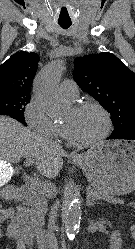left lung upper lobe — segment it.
Listing matches in <instances>:
<instances>
[{"label": "left lung upper lobe", "mask_w": 135, "mask_h": 249, "mask_svg": "<svg viewBox=\"0 0 135 249\" xmlns=\"http://www.w3.org/2000/svg\"><path fill=\"white\" fill-rule=\"evenodd\" d=\"M73 76L82 90L110 112L114 132H126L135 124V73L114 54L76 58Z\"/></svg>", "instance_id": "obj_1"}]
</instances>
